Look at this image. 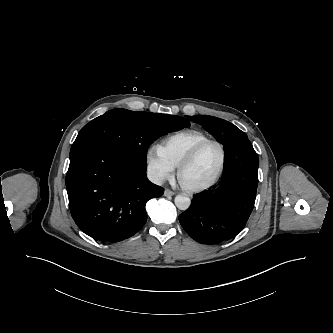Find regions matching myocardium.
Listing matches in <instances>:
<instances>
[{
  "mask_svg": "<svg viewBox=\"0 0 333 333\" xmlns=\"http://www.w3.org/2000/svg\"><path fill=\"white\" fill-rule=\"evenodd\" d=\"M216 145L219 150H220V163L219 166L215 172V174L212 176V178L210 180H208L207 182L200 184V185H196V186H191V185H187L182 181V173L183 171L196 159L197 155L199 154V152L206 147L207 145ZM225 163H226V151L225 148L223 146L222 143H220L217 140H213V139H207L204 140L200 143H198L185 157L184 159L180 162V164L178 165V169H177V177L179 180L180 185L182 186V188L188 192H192V193H197V192H202L205 191L209 188H211L221 177L224 167H225Z\"/></svg>",
  "mask_w": 333,
  "mask_h": 333,
  "instance_id": "1",
  "label": "myocardium"
}]
</instances>
